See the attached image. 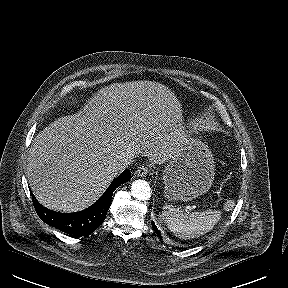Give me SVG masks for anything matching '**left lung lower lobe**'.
Wrapping results in <instances>:
<instances>
[{"instance_id": "1", "label": "left lung lower lobe", "mask_w": 288, "mask_h": 288, "mask_svg": "<svg viewBox=\"0 0 288 288\" xmlns=\"http://www.w3.org/2000/svg\"><path fill=\"white\" fill-rule=\"evenodd\" d=\"M152 227H153L154 231L156 232V234L160 237V231H158L154 222H152Z\"/></svg>"}]
</instances>
